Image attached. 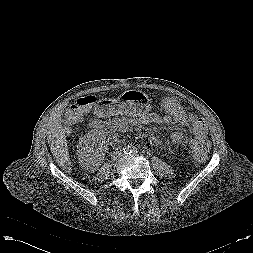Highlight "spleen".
Segmentation results:
<instances>
[{
    "mask_svg": "<svg viewBox=\"0 0 253 253\" xmlns=\"http://www.w3.org/2000/svg\"><path fill=\"white\" fill-rule=\"evenodd\" d=\"M162 119L172 136L182 145L181 159L190 166L201 165L207 158V149L200 142L203 128L189 107L180 101L170 102L163 109Z\"/></svg>",
    "mask_w": 253,
    "mask_h": 253,
    "instance_id": "spleen-1",
    "label": "spleen"
}]
</instances>
